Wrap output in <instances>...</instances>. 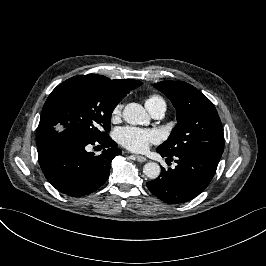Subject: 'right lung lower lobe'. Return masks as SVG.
<instances>
[{"label":"right lung lower lobe","mask_w":266,"mask_h":266,"mask_svg":"<svg viewBox=\"0 0 266 266\" xmlns=\"http://www.w3.org/2000/svg\"><path fill=\"white\" fill-rule=\"evenodd\" d=\"M99 142L104 149L94 156L88 144ZM39 163L46 179L61 193L84 196L102 186L109 177L112 159L121 154L117 144L106 136L99 140L58 135L37 146Z\"/></svg>","instance_id":"1"}]
</instances>
